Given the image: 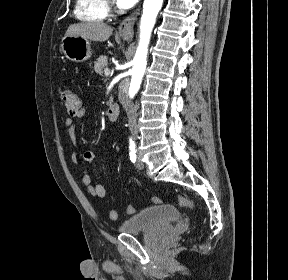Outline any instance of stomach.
<instances>
[{"mask_svg": "<svg viewBox=\"0 0 288 280\" xmlns=\"http://www.w3.org/2000/svg\"><path fill=\"white\" fill-rule=\"evenodd\" d=\"M61 49L67 59L77 63L88 60L92 54L90 42L79 36H65L61 42Z\"/></svg>", "mask_w": 288, "mask_h": 280, "instance_id": "1", "label": "stomach"}]
</instances>
